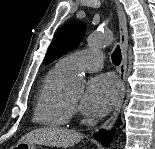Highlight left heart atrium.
I'll use <instances>...</instances> for the list:
<instances>
[{"label": "left heart atrium", "instance_id": "1", "mask_svg": "<svg viewBox=\"0 0 155 149\" xmlns=\"http://www.w3.org/2000/svg\"><path fill=\"white\" fill-rule=\"evenodd\" d=\"M119 87L115 78L109 74L92 78L81 101L82 111L91 116L106 115L115 104Z\"/></svg>", "mask_w": 155, "mask_h": 149}]
</instances>
